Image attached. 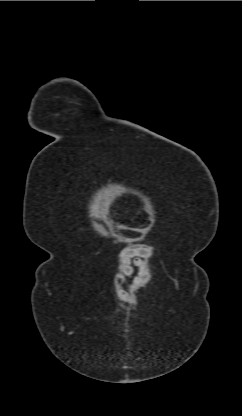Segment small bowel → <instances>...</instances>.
Wrapping results in <instances>:
<instances>
[{
    "instance_id": "c3829d8e",
    "label": "small bowel",
    "mask_w": 242,
    "mask_h": 416,
    "mask_svg": "<svg viewBox=\"0 0 242 416\" xmlns=\"http://www.w3.org/2000/svg\"><path fill=\"white\" fill-rule=\"evenodd\" d=\"M147 253L140 248H133L122 255V271L131 277L135 286H141L148 280V272L144 267L143 258Z\"/></svg>"
}]
</instances>
